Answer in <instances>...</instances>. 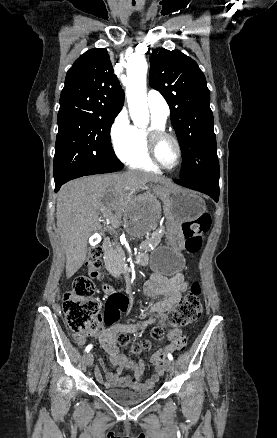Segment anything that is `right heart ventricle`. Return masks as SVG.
<instances>
[{
  "label": "right heart ventricle",
  "mask_w": 277,
  "mask_h": 438,
  "mask_svg": "<svg viewBox=\"0 0 277 438\" xmlns=\"http://www.w3.org/2000/svg\"><path fill=\"white\" fill-rule=\"evenodd\" d=\"M151 67V65H150ZM152 118V126L164 128L165 121ZM121 160L130 169H137L149 173L160 172L159 168L153 163L146 145V130L137 125L132 126L131 141L127 148L119 152Z\"/></svg>",
  "instance_id": "right-heart-ventricle-1"
}]
</instances>
